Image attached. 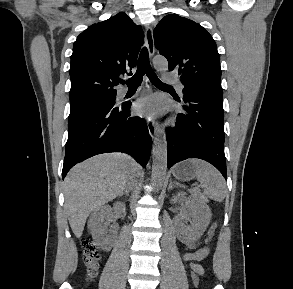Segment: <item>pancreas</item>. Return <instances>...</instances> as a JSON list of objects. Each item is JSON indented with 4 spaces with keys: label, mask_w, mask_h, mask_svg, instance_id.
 Listing matches in <instances>:
<instances>
[{
    "label": "pancreas",
    "mask_w": 293,
    "mask_h": 289,
    "mask_svg": "<svg viewBox=\"0 0 293 289\" xmlns=\"http://www.w3.org/2000/svg\"><path fill=\"white\" fill-rule=\"evenodd\" d=\"M190 193H191L195 198H198V199H204V197H203L202 194L200 193V190H198V189L190 190Z\"/></svg>",
    "instance_id": "1"
}]
</instances>
